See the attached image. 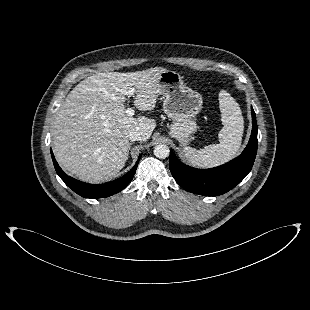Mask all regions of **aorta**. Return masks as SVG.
Here are the masks:
<instances>
[{
  "label": "aorta",
  "mask_w": 310,
  "mask_h": 310,
  "mask_svg": "<svg viewBox=\"0 0 310 310\" xmlns=\"http://www.w3.org/2000/svg\"><path fill=\"white\" fill-rule=\"evenodd\" d=\"M169 147L165 144H157L154 147V155L159 159H164L169 156Z\"/></svg>",
  "instance_id": "1"
}]
</instances>
